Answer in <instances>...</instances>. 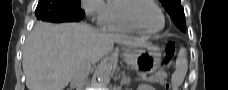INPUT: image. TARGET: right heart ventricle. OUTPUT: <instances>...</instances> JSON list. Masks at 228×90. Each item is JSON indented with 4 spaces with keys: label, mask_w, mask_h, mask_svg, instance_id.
Here are the masks:
<instances>
[{
    "label": "right heart ventricle",
    "mask_w": 228,
    "mask_h": 90,
    "mask_svg": "<svg viewBox=\"0 0 228 90\" xmlns=\"http://www.w3.org/2000/svg\"><path fill=\"white\" fill-rule=\"evenodd\" d=\"M132 3V0H109L107 2L105 27L111 31L141 33V31L129 23L125 17L126 8Z\"/></svg>",
    "instance_id": "e07e8e85"
}]
</instances>
